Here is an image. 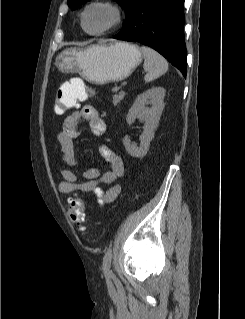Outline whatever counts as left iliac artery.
Listing matches in <instances>:
<instances>
[{"label":"left iliac artery","instance_id":"left-iliac-artery-1","mask_svg":"<svg viewBox=\"0 0 245 319\" xmlns=\"http://www.w3.org/2000/svg\"><path fill=\"white\" fill-rule=\"evenodd\" d=\"M112 249L109 247L103 258V272L106 278L113 277L111 271Z\"/></svg>","mask_w":245,"mask_h":319}]
</instances>
